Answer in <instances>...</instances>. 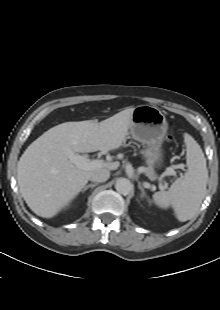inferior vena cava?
<instances>
[{"label":"inferior vena cava","instance_id":"obj_1","mask_svg":"<svg viewBox=\"0 0 220 310\" xmlns=\"http://www.w3.org/2000/svg\"><path fill=\"white\" fill-rule=\"evenodd\" d=\"M109 177H110V172L108 170H103V171L93 173L90 176L89 180L93 182L101 183V182L107 181Z\"/></svg>","mask_w":220,"mask_h":310}]
</instances>
